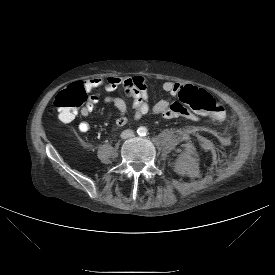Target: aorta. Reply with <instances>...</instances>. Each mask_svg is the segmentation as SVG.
Masks as SVG:
<instances>
[{"mask_svg": "<svg viewBox=\"0 0 275 275\" xmlns=\"http://www.w3.org/2000/svg\"><path fill=\"white\" fill-rule=\"evenodd\" d=\"M138 134L143 136L147 133V129L145 127H139L138 130H137Z\"/></svg>", "mask_w": 275, "mask_h": 275, "instance_id": "aorta-1", "label": "aorta"}]
</instances>
